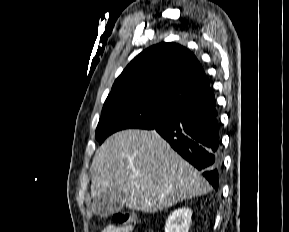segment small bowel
Here are the masks:
<instances>
[{
  "label": "small bowel",
  "mask_w": 289,
  "mask_h": 232,
  "mask_svg": "<svg viewBox=\"0 0 289 232\" xmlns=\"http://www.w3.org/2000/svg\"><path fill=\"white\" fill-rule=\"evenodd\" d=\"M102 232H133V226H116V225H109L105 227Z\"/></svg>",
  "instance_id": "obj_1"
}]
</instances>
